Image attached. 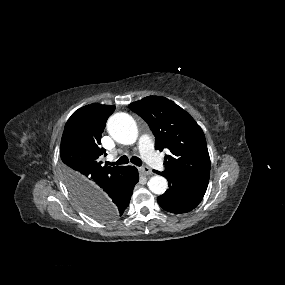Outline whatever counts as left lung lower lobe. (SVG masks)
I'll return each instance as SVG.
<instances>
[{
    "mask_svg": "<svg viewBox=\"0 0 285 285\" xmlns=\"http://www.w3.org/2000/svg\"><path fill=\"white\" fill-rule=\"evenodd\" d=\"M169 182V189L157 198L166 211L180 214L193 210L202 200L207 186L182 180L176 176L155 171Z\"/></svg>",
    "mask_w": 285,
    "mask_h": 285,
    "instance_id": "0a47b994",
    "label": "left lung lower lobe"
}]
</instances>
